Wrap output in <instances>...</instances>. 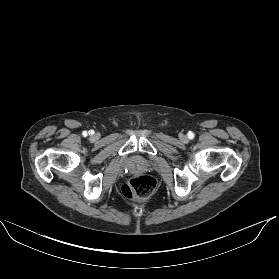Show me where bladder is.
I'll list each match as a JSON object with an SVG mask.
<instances>
[{"mask_svg":"<svg viewBox=\"0 0 279 279\" xmlns=\"http://www.w3.org/2000/svg\"><path fill=\"white\" fill-rule=\"evenodd\" d=\"M132 163L135 164V165H139V164H141V160L139 158H134L132 160Z\"/></svg>","mask_w":279,"mask_h":279,"instance_id":"bladder-1","label":"bladder"}]
</instances>
